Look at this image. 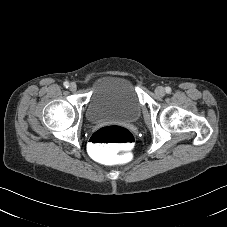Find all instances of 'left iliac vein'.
Returning <instances> with one entry per match:
<instances>
[{"mask_svg": "<svg viewBox=\"0 0 227 227\" xmlns=\"http://www.w3.org/2000/svg\"><path fill=\"white\" fill-rule=\"evenodd\" d=\"M155 92L159 96H164V94H165L164 88L161 87V86L157 87L156 90H155Z\"/></svg>", "mask_w": 227, "mask_h": 227, "instance_id": "1", "label": "left iliac vein"}]
</instances>
